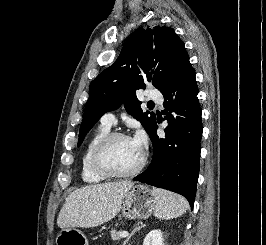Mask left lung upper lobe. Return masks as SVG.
<instances>
[{"label": "left lung upper lobe", "instance_id": "5c2ea615", "mask_svg": "<svg viewBox=\"0 0 266 245\" xmlns=\"http://www.w3.org/2000/svg\"><path fill=\"white\" fill-rule=\"evenodd\" d=\"M188 57L184 42L171 27L136 29L115 63L103 70L90 84L78 146L104 113L122 104L148 133L156 117L148 111H142L136 90L145 88L146 82L163 90L180 63Z\"/></svg>", "mask_w": 266, "mask_h": 245}]
</instances>
